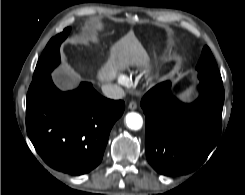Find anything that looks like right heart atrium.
I'll use <instances>...</instances> for the list:
<instances>
[{
    "label": "right heart atrium",
    "instance_id": "right-heart-atrium-1",
    "mask_svg": "<svg viewBox=\"0 0 245 195\" xmlns=\"http://www.w3.org/2000/svg\"><path fill=\"white\" fill-rule=\"evenodd\" d=\"M118 82L122 85H126L128 83V79L124 75H120L118 77Z\"/></svg>",
    "mask_w": 245,
    "mask_h": 195
}]
</instances>
